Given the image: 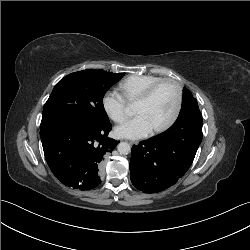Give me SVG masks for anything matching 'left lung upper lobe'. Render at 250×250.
<instances>
[{"label":"left lung upper lobe","instance_id":"1","mask_svg":"<svg viewBox=\"0 0 250 250\" xmlns=\"http://www.w3.org/2000/svg\"><path fill=\"white\" fill-rule=\"evenodd\" d=\"M183 117H189L194 121L196 119H202L198 103L187 88L183 89V102L178 119Z\"/></svg>","mask_w":250,"mask_h":250}]
</instances>
